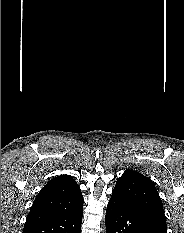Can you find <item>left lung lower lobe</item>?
Segmentation results:
<instances>
[{
  "label": "left lung lower lobe",
  "mask_w": 184,
  "mask_h": 233,
  "mask_svg": "<svg viewBox=\"0 0 184 233\" xmlns=\"http://www.w3.org/2000/svg\"><path fill=\"white\" fill-rule=\"evenodd\" d=\"M106 233H156L147 220L117 197L111 196L106 210Z\"/></svg>",
  "instance_id": "obj_1"
}]
</instances>
